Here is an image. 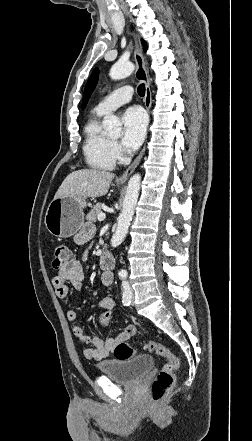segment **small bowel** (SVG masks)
<instances>
[{
  "mask_svg": "<svg viewBox=\"0 0 252 441\" xmlns=\"http://www.w3.org/2000/svg\"><path fill=\"white\" fill-rule=\"evenodd\" d=\"M94 232L95 230L92 226H84L75 236V242L77 244L86 243L93 237ZM83 279L84 273L82 265L78 260L73 259L70 263L59 269L58 273L52 279V284L56 295L59 298H66L69 293L67 283H71L74 289L77 292H80L82 290ZM113 280L114 278L111 271L102 272L101 281L103 285L111 286ZM107 304H113L115 306V300L112 297H104L97 303V308L102 309ZM67 319L75 323L73 328L74 336L81 342L91 345L84 350V356L87 359L97 361L109 357L119 343L125 342L136 332V327L134 325H128L116 337L103 340L99 337H89L84 333V329L81 326L82 319L78 316L75 310L69 309L67 311Z\"/></svg>",
  "mask_w": 252,
  "mask_h": 441,
  "instance_id": "1",
  "label": "small bowel"
}]
</instances>
